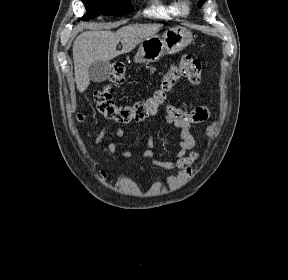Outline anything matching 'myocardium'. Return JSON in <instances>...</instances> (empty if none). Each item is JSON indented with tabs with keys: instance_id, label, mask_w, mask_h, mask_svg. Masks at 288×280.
<instances>
[{
	"instance_id": "1",
	"label": "myocardium",
	"mask_w": 288,
	"mask_h": 280,
	"mask_svg": "<svg viewBox=\"0 0 288 280\" xmlns=\"http://www.w3.org/2000/svg\"><path fill=\"white\" fill-rule=\"evenodd\" d=\"M179 9L180 13L183 15H187L190 13L191 6L189 0H179Z\"/></svg>"
}]
</instances>
